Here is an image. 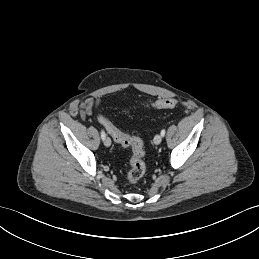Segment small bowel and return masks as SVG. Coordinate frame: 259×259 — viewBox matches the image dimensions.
<instances>
[{
  "mask_svg": "<svg viewBox=\"0 0 259 259\" xmlns=\"http://www.w3.org/2000/svg\"><path fill=\"white\" fill-rule=\"evenodd\" d=\"M98 102L94 101V100H90L88 102H86L85 104V113L87 115L91 114L93 109L97 106Z\"/></svg>",
  "mask_w": 259,
  "mask_h": 259,
  "instance_id": "small-bowel-1",
  "label": "small bowel"
}]
</instances>
